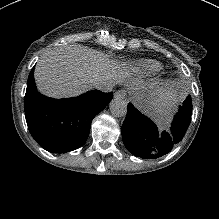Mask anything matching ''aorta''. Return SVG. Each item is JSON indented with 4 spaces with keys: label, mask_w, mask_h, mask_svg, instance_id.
Wrapping results in <instances>:
<instances>
[{
    "label": "aorta",
    "mask_w": 219,
    "mask_h": 219,
    "mask_svg": "<svg viewBox=\"0 0 219 219\" xmlns=\"http://www.w3.org/2000/svg\"><path fill=\"white\" fill-rule=\"evenodd\" d=\"M109 110L113 117L121 118L127 114V104L123 99L115 98L110 102Z\"/></svg>",
    "instance_id": "obj_1"
}]
</instances>
